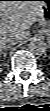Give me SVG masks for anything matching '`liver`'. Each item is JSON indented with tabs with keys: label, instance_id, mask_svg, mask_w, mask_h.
I'll return each instance as SVG.
<instances>
[{
	"label": "liver",
	"instance_id": "obj_1",
	"mask_svg": "<svg viewBox=\"0 0 50 111\" xmlns=\"http://www.w3.org/2000/svg\"><path fill=\"white\" fill-rule=\"evenodd\" d=\"M42 6V2L31 0L1 1V46L6 37H18L20 40L27 38L31 25L43 18Z\"/></svg>",
	"mask_w": 50,
	"mask_h": 111
}]
</instances>
